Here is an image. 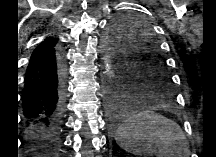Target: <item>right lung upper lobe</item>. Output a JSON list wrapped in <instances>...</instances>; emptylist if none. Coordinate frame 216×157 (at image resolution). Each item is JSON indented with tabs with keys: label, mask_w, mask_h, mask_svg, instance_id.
<instances>
[{
	"label": "right lung upper lobe",
	"mask_w": 216,
	"mask_h": 157,
	"mask_svg": "<svg viewBox=\"0 0 216 157\" xmlns=\"http://www.w3.org/2000/svg\"><path fill=\"white\" fill-rule=\"evenodd\" d=\"M57 43V39L55 38H47L46 40H44L42 43H40L36 49L33 51L32 55H31V60L42 56L43 54L54 50V46Z\"/></svg>",
	"instance_id": "1"
}]
</instances>
